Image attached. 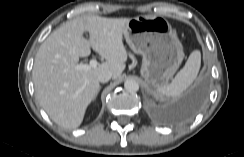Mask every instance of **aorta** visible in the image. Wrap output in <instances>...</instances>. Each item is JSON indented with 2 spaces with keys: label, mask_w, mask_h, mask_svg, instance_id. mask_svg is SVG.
<instances>
[{
  "label": "aorta",
  "mask_w": 244,
  "mask_h": 157,
  "mask_svg": "<svg viewBox=\"0 0 244 157\" xmlns=\"http://www.w3.org/2000/svg\"><path fill=\"white\" fill-rule=\"evenodd\" d=\"M124 88L127 90V91H131V92H136L139 90V84L136 80L134 79H127L125 82H124Z\"/></svg>",
  "instance_id": "aorta-1"
}]
</instances>
